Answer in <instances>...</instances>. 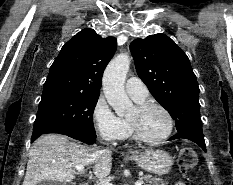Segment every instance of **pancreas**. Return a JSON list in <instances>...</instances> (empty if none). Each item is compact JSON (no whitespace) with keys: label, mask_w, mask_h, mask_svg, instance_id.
<instances>
[{"label":"pancreas","mask_w":233,"mask_h":185,"mask_svg":"<svg viewBox=\"0 0 233 185\" xmlns=\"http://www.w3.org/2000/svg\"><path fill=\"white\" fill-rule=\"evenodd\" d=\"M140 180L144 181L145 185H167V182L163 181L162 178L153 177L149 174L141 176Z\"/></svg>","instance_id":"1"}]
</instances>
